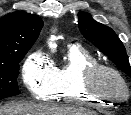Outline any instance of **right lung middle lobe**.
<instances>
[{
    "label": "right lung middle lobe",
    "instance_id": "obj_1",
    "mask_svg": "<svg viewBox=\"0 0 131 115\" xmlns=\"http://www.w3.org/2000/svg\"><path fill=\"white\" fill-rule=\"evenodd\" d=\"M28 50L14 53L8 61L0 62V100L20 93L17 85L19 62Z\"/></svg>",
    "mask_w": 131,
    "mask_h": 115
}]
</instances>
